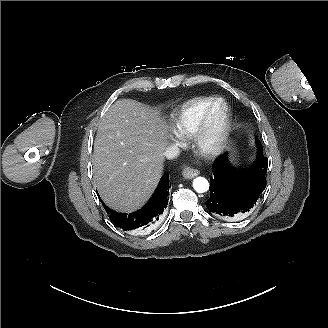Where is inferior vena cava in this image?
<instances>
[{
	"instance_id": "obj_1",
	"label": "inferior vena cava",
	"mask_w": 328,
	"mask_h": 328,
	"mask_svg": "<svg viewBox=\"0 0 328 328\" xmlns=\"http://www.w3.org/2000/svg\"><path fill=\"white\" fill-rule=\"evenodd\" d=\"M180 155V149L177 145L172 144L170 146H168L166 148V150L164 151V156L168 159V160H172L177 158Z\"/></svg>"
}]
</instances>
